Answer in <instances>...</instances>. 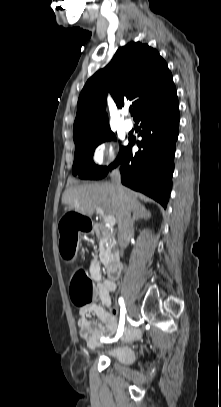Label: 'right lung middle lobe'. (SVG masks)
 Returning <instances> with one entry per match:
<instances>
[{"instance_id": "right-lung-middle-lobe-1", "label": "right lung middle lobe", "mask_w": 221, "mask_h": 407, "mask_svg": "<svg viewBox=\"0 0 221 407\" xmlns=\"http://www.w3.org/2000/svg\"><path fill=\"white\" fill-rule=\"evenodd\" d=\"M115 139L111 130L103 132L95 137L75 144L73 174L82 179H101L106 176L110 169L119 161L126 147L120 148V153L114 163L109 167L97 166L93 162L95 148L104 141Z\"/></svg>"}]
</instances>
